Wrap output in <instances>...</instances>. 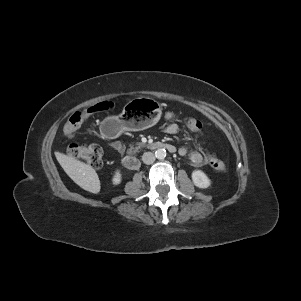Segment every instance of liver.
<instances>
[{
	"mask_svg": "<svg viewBox=\"0 0 301 301\" xmlns=\"http://www.w3.org/2000/svg\"><path fill=\"white\" fill-rule=\"evenodd\" d=\"M55 156L66 174L77 185L91 193H99L100 180L91 166L60 152H55Z\"/></svg>",
	"mask_w": 301,
	"mask_h": 301,
	"instance_id": "liver-1",
	"label": "liver"
}]
</instances>
